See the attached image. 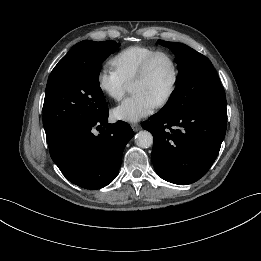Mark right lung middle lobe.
Here are the masks:
<instances>
[{
	"label": "right lung middle lobe",
	"mask_w": 261,
	"mask_h": 261,
	"mask_svg": "<svg viewBox=\"0 0 261 261\" xmlns=\"http://www.w3.org/2000/svg\"><path fill=\"white\" fill-rule=\"evenodd\" d=\"M118 47L113 41H81L54 67L43 105L47 142L72 127L87 125L108 113L99 85V66Z\"/></svg>",
	"instance_id": "obj_1"
}]
</instances>
